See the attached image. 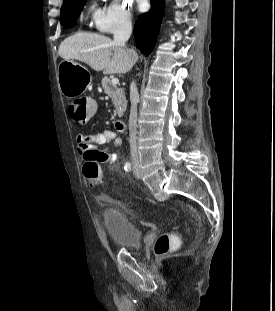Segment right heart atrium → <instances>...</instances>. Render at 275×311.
I'll use <instances>...</instances> for the list:
<instances>
[{"instance_id": "d8ad5b80", "label": "right heart atrium", "mask_w": 275, "mask_h": 311, "mask_svg": "<svg viewBox=\"0 0 275 311\" xmlns=\"http://www.w3.org/2000/svg\"><path fill=\"white\" fill-rule=\"evenodd\" d=\"M95 28L104 34L124 32L132 27L131 6L126 0H109L94 20Z\"/></svg>"}]
</instances>
